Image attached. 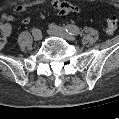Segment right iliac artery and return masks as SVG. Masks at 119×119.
Returning <instances> with one entry per match:
<instances>
[{
    "label": "right iliac artery",
    "instance_id": "82829eb1",
    "mask_svg": "<svg viewBox=\"0 0 119 119\" xmlns=\"http://www.w3.org/2000/svg\"><path fill=\"white\" fill-rule=\"evenodd\" d=\"M30 34H31V36L36 37V36H38L39 31H38V29L33 28V29H31Z\"/></svg>",
    "mask_w": 119,
    "mask_h": 119
}]
</instances>
